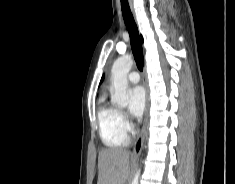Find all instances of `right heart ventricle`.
I'll list each match as a JSON object with an SVG mask.
<instances>
[{"instance_id": "right-heart-ventricle-1", "label": "right heart ventricle", "mask_w": 235, "mask_h": 184, "mask_svg": "<svg viewBox=\"0 0 235 184\" xmlns=\"http://www.w3.org/2000/svg\"><path fill=\"white\" fill-rule=\"evenodd\" d=\"M97 124L100 138L106 149L101 159L108 158L126 147L130 138L119 119V111L107 104H101L97 110Z\"/></svg>"}]
</instances>
